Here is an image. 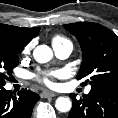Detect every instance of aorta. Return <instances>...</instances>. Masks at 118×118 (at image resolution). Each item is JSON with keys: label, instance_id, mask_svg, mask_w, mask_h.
Segmentation results:
<instances>
[{"label": "aorta", "instance_id": "aorta-1", "mask_svg": "<svg viewBox=\"0 0 118 118\" xmlns=\"http://www.w3.org/2000/svg\"><path fill=\"white\" fill-rule=\"evenodd\" d=\"M33 57L38 63H47L52 59L53 51L47 45H39L34 49ZM55 108L59 112H69L72 108V102L68 97H58Z\"/></svg>", "mask_w": 118, "mask_h": 118}]
</instances>
